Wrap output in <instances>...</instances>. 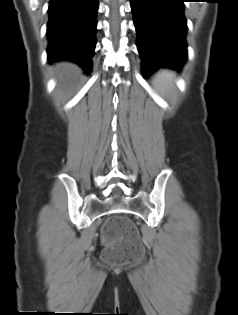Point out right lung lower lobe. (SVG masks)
<instances>
[{
    "label": "right lung lower lobe",
    "instance_id": "98d812e1",
    "mask_svg": "<svg viewBox=\"0 0 238 315\" xmlns=\"http://www.w3.org/2000/svg\"><path fill=\"white\" fill-rule=\"evenodd\" d=\"M98 0H50L47 22L48 61L68 60L86 72L96 45Z\"/></svg>",
    "mask_w": 238,
    "mask_h": 315
}]
</instances>
